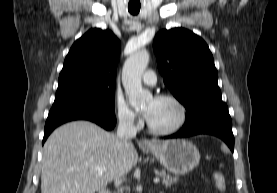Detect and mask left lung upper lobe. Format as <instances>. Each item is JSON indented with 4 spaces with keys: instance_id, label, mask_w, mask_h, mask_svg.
<instances>
[{
    "instance_id": "left-lung-upper-lobe-1",
    "label": "left lung upper lobe",
    "mask_w": 277,
    "mask_h": 193,
    "mask_svg": "<svg viewBox=\"0 0 277 193\" xmlns=\"http://www.w3.org/2000/svg\"><path fill=\"white\" fill-rule=\"evenodd\" d=\"M153 49L164 83L185 106L186 118L204 105L223 102L213 56L201 37L184 28L162 30Z\"/></svg>"
}]
</instances>
